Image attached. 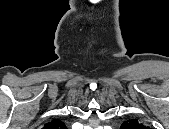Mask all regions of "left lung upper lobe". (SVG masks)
Listing matches in <instances>:
<instances>
[{
  "label": "left lung upper lobe",
  "instance_id": "1",
  "mask_svg": "<svg viewBox=\"0 0 169 129\" xmlns=\"http://www.w3.org/2000/svg\"><path fill=\"white\" fill-rule=\"evenodd\" d=\"M142 123H139L136 119H129L124 121L120 127V129H146Z\"/></svg>",
  "mask_w": 169,
  "mask_h": 129
}]
</instances>
